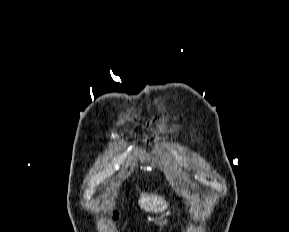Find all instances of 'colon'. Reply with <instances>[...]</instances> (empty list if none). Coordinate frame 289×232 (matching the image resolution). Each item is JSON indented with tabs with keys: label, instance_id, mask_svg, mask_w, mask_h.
<instances>
[{
	"label": "colon",
	"instance_id": "colon-1",
	"mask_svg": "<svg viewBox=\"0 0 289 232\" xmlns=\"http://www.w3.org/2000/svg\"><path fill=\"white\" fill-rule=\"evenodd\" d=\"M112 218H113V219H116V218H117V214H116V213H113V214H112Z\"/></svg>",
	"mask_w": 289,
	"mask_h": 232
}]
</instances>
